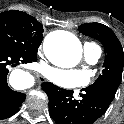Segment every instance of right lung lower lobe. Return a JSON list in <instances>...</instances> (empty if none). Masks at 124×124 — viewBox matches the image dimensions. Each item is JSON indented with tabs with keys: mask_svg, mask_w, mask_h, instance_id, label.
I'll list each match as a JSON object with an SVG mask.
<instances>
[{
	"mask_svg": "<svg viewBox=\"0 0 124 124\" xmlns=\"http://www.w3.org/2000/svg\"><path fill=\"white\" fill-rule=\"evenodd\" d=\"M35 57L18 54L9 49L0 48V120L14 115L26 98V94L15 92L7 84V74L11 67L20 63H30Z\"/></svg>",
	"mask_w": 124,
	"mask_h": 124,
	"instance_id": "obj_1",
	"label": "right lung lower lobe"
}]
</instances>
